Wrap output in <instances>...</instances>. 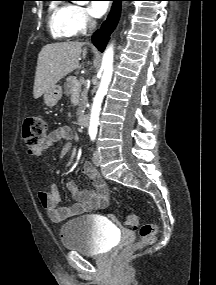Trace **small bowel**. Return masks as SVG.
Instances as JSON below:
<instances>
[{"label": "small bowel", "mask_w": 216, "mask_h": 285, "mask_svg": "<svg viewBox=\"0 0 216 285\" xmlns=\"http://www.w3.org/2000/svg\"><path fill=\"white\" fill-rule=\"evenodd\" d=\"M72 139L73 130L69 126H60L50 133L42 145V151L45 152L58 142H63L59 152V156L63 157L71 152ZM49 168L52 169L53 165L50 164ZM82 171L88 176L94 189H80L74 181H69L67 189L77 201L71 206H60V196L53 184L47 190L39 192V200L53 222L59 223L95 209L105 208L108 205L109 191L98 171L88 162L83 164Z\"/></svg>", "instance_id": "1"}]
</instances>
